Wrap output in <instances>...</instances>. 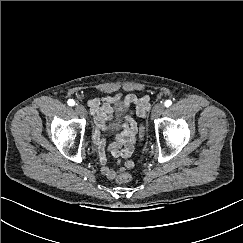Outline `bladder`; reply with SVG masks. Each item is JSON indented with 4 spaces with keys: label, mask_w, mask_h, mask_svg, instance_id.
Instances as JSON below:
<instances>
[{
    "label": "bladder",
    "mask_w": 243,
    "mask_h": 243,
    "mask_svg": "<svg viewBox=\"0 0 243 243\" xmlns=\"http://www.w3.org/2000/svg\"><path fill=\"white\" fill-rule=\"evenodd\" d=\"M121 112H122L121 109H117L115 116H114V119H113V121L110 125V129L116 128L120 124Z\"/></svg>",
    "instance_id": "bladder-1"
}]
</instances>
